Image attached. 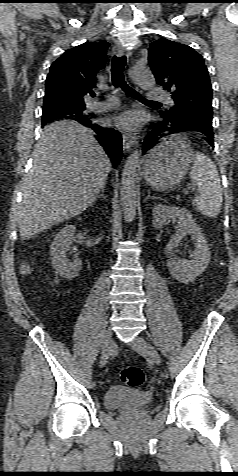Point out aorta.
<instances>
[{
    "label": "aorta",
    "instance_id": "aorta-1",
    "mask_svg": "<svg viewBox=\"0 0 238 476\" xmlns=\"http://www.w3.org/2000/svg\"><path fill=\"white\" fill-rule=\"evenodd\" d=\"M130 74L132 80L144 90L150 89L155 84V78L148 69L134 67ZM140 155V150L135 149L127 158L122 172L120 201L127 223H131L136 216V170L140 163Z\"/></svg>",
    "mask_w": 238,
    "mask_h": 476
}]
</instances>
